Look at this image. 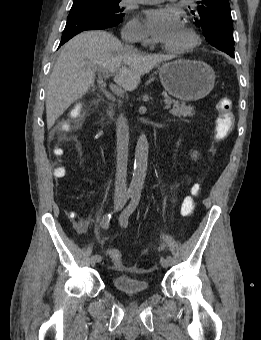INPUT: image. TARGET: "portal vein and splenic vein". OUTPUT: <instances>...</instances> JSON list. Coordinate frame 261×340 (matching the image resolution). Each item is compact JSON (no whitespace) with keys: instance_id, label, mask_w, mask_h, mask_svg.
Returning a JSON list of instances; mask_svg holds the SVG:
<instances>
[{"instance_id":"18ae733b","label":"portal vein and splenic vein","mask_w":261,"mask_h":340,"mask_svg":"<svg viewBox=\"0 0 261 340\" xmlns=\"http://www.w3.org/2000/svg\"><path fill=\"white\" fill-rule=\"evenodd\" d=\"M95 69L96 70H98V71H100L101 73H102V75L104 76V78H109V71H108V69H106V68H103V67H97V66H95ZM110 89H111V91L114 93V94H116V95H122V93H123V91H122V89L121 88H119L118 86H116V85H110ZM171 108V105L170 104H166L165 106H164V109H166V110H169Z\"/></svg>"}]
</instances>
